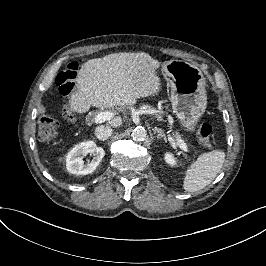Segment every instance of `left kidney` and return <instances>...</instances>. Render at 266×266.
Here are the masks:
<instances>
[{"label": "left kidney", "instance_id": "1", "mask_svg": "<svg viewBox=\"0 0 266 266\" xmlns=\"http://www.w3.org/2000/svg\"><path fill=\"white\" fill-rule=\"evenodd\" d=\"M164 159H165L166 163H168L170 166H176L177 165L176 158L170 152L165 153Z\"/></svg>", "mask_w": 266, "mask_h": 266}]
</instances>
